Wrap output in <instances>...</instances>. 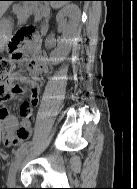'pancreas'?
<instances>
[{
	"mask_svg": "<svg viewBox=\"0 0 137 189\" xmlns=\"http://www.w3.org/2000/svg\"><path fill=\"white\" fill-rule=\"evenodd\" d=\"M14 10H15V12L18 13V15H17L18 23H21L23 20H25L28 17V14L30 12V8L21 7L20 5L15 6ZM42 15H46V14H42ZM36 18L39 19L40 16L37 15Z\"/></svg>",
	"mask_w": 137,
	"mask_h": 189,
	"instance_id": "obj_1",
	"label": "pancreas"
}]
</instances>
